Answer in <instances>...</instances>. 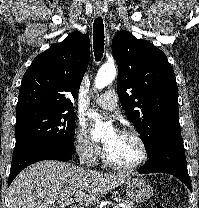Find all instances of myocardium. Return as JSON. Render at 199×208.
<instances>
[{"label": "myocardium", "mask_w": 199, "mask_h": 208, "mask_svg": "<svg viewBox=\"0 0 199 208\" xmlns=\"http://www.w3.org/2000/svg\"><path fill=\"white\" fill-rule=\"evenodd\" d=\"M117 132L121 133V134L132 136L137 141V143L139 144V146L141 148L140 159L131 165L119 164V163L113 161L108 156L105 148H103L102 157H103L104 163L107 166H109L115 170H119V171H123V172H131V171H134V170L140 168L141 166H143L146 163V161L148 160V147H147V144L144 141L143 137L139 134V132H137L136 130L131 129V128H120L117 130Z\"/></svg>", "instance_id": "f54148a6"}]
</instances>
